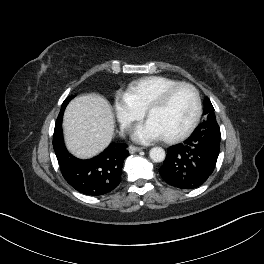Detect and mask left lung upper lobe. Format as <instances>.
Returning a JSON list of instances; mask_svg holds the SVG:
<instances>
[{"mask_svg":"<svg viewBox=\"0 0 264 264\" xmlns=\"http://www.w3.org/2000/svg\"><path fill=\"white\" fill-rule=\"evenodd\" d=\"M204 115H206V117H207L205 121H208V120H215L216 121L214 108H213L208 97H206L204 100Z\"/></svg>","mask_w":264,"mask_h":264,"instance_id":"left-lung-upper-lobe-1","label":"left lung upper lobe"}]
</instances>
